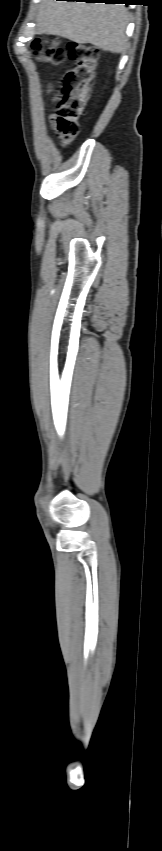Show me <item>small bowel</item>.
Wrapping results in <instances>:
<instances>
[{"label": "small bowel", "instance_id": "obj_1", "mask_svg": "<svg viewBox=\"0 0 162 851\" xmlns=\"http://www.w3.org/2000/svg\"><path fill=\"white\" fill-rule=\"evenodd\" d=\"M50 123L52 124V126L54 128H56V121H55L53 116L50 117ZM56 134L61 139L63 145H68V144L71 143V140L69 138H67L65 135H63L62 133H60L59 131H56Z\"/></svg>", "mask_w": 162, "mask_h": 851}]
</instances>
